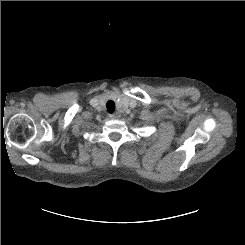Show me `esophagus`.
Masks as SVG:
<instances>
[{"label":"esophagus","mask_w":245,"mask_h":245,"mask_svg":"<svg viewBox=\"0 0 245 245\" xmlns=\"http://www.w3.org/2000/svg\"><path fill=\"white\" fill-rule=\"evenodd\" d=\"M109 117H110L111 119H119V118H120V115H119L118 113H115V114L109 115Z\"/></svg>","instance_id":"34e87169"}]
</instances>
